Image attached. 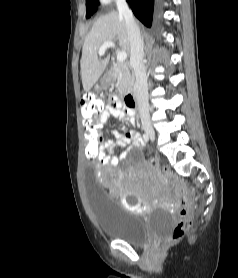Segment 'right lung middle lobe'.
Returning <instances> with one entry per match:
<instances>
[{
  "mask_svg": "<svg viewBox=\"0 0 238 278\" xmlns=\"http://www.w3.org/2000/svg\"><path fill=\"white\" fill-rule=\"evenodd\" d=\"M98 0H87L86 2V18H89L96 10Z\"/></svg>",
  "mask_w": 238,
  "mask_h": 278,
  "instance_id": "dd1d6c3e",
  "label": "right lung middle lobe"
}]
</instances>
